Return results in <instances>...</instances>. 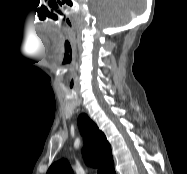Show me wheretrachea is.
<instances>
[{
    "mask_svg": "<svg viewBox=\"0 0 187 174\" xmlns=\"http://www.w3.org/2000/svg\"><path fill=\"white\" fill-rule=\"evenodd\" d=\"M98 174H103V170L100 169V170L98 171Z\"/></svg>",
    "mask_w": 187,
    "mask_h": 174,
    "instance_id": "trachea-1",
    "label": "trachea"
}]
</instances>
